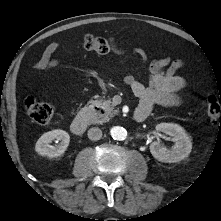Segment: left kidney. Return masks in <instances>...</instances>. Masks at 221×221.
Returning a JSON list of instances; mask_svg holds the SVG:
<instances>
[{
  "label": "left kidney",
  "mask_w": 221,
  "mask_h": 221,
  "mask_svg": "<svg viewBox=\"0 0 221 221\" xmlns=\"http://www.w3.org/2000/svg\"><path fill=\"white\" fill-rule=\"evenodd\" d=\"M158 132L172 137L175 143L171 149L161 146L157 141L150 144L152 156L160 162L175 163L188 157L192 150V142L186 131L178 124L160 123L156 126Z\"/></svg>",
  "instance_id": "1"
}]
</instances>
